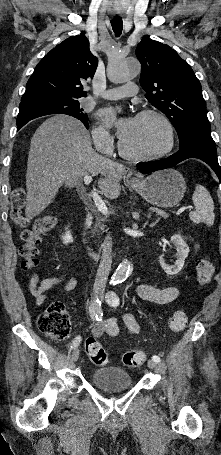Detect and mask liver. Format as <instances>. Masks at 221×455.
Here are the masks:
<instances>
[{
	"mask_svg": "<svg viewBox=\"0 0 221 455\" xmlns=\"http://www.w3.org/2000/svg\"><path fill=\"white\" fill-rule=\"evenodd\" d=\"M126 169L96 153L90 133L77 119L55 115L35 131L28 154L25 215L33 219L55 199L62 185L77 186L85 175L101 174L98 187L109 199L120 195Z\"/></svg>",
	"mask_w": 221,
	"mask_h": 455,
	"instance_id": "6515ba94",
	"label": "liver"
}]
</instances>
